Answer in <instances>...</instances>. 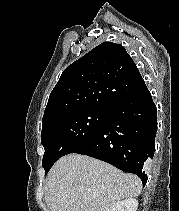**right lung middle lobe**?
I'll return each instance as SVG.
<instances>
[{"label": "right lung middle lobe", "mask_w": 179, "mask_h": 211, "mask_svg": "<svg viewBox=\"0 0 179 211\" xmlns=\"http://www.w3.org/2000/svg\"><path fill=\"white\" fill-rule=\"evenodd\" d=\"M109 108H90L60 117L42 127L44 146L42 166L45 174L62 156L72 153L91 140L107 120Z\"/></svg>", "instance_id": "dd1d6c3e"}]
</instances>
